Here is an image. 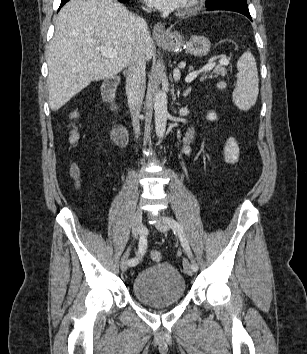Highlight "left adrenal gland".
Wrapping results in <instances>:
<instances>
[{"mask_svg": "<svg viewBox=\"0 0 307 354\" xmlns=\"http://www.w3.org/2000/svg\"><path fill=\"white\" fill-rule=\"evenodd\" d=\"M191 92V87L187 88L184 93H183V96L186 97L189 95V93Z\"/></svg>", "mask_w": 307, "mask_h": 354, "instance_id": "1", "label": "left adrenal gland"}]
</instances>
